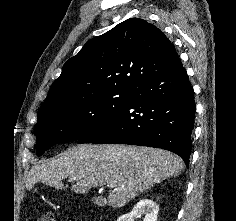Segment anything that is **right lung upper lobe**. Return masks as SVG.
Returning <instances> with one entry per match:
<instances>
[{
    "instance_id": "cb5924a9",
    "label": "right lung upper lobe",
    "mask_w": 236,
    "mask_h": 221,
    "mask_svg": "<svg viewBox=\"0 0 236 221\" xmlns=\"http://www.w3.org/2000/svg\"><path fill=\"white\" fill-rule=\"evenodd\" d=\"M178 57L160 29L140 18L127 19L86 42L64 64L41 108L101 92L132 90Z\"/></svg>"
}]
</instances>
